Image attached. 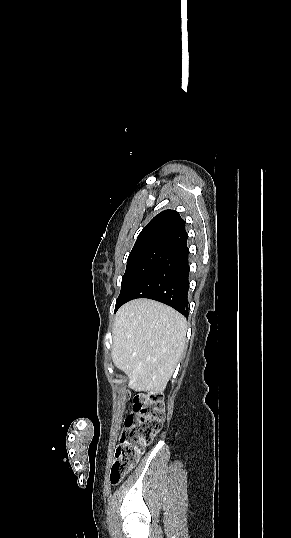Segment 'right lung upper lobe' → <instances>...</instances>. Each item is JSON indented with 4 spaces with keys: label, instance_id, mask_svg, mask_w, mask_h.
I'll list each match as a JSON object with an SVG mask.
<instances>
[{
    "label": "right lung upper lobe",
    "instance_id": "right-lung-upper-lobe-1",
    "mask_svg": "<svg viewBox=\"0 0 291 538\" xmlns=\"http://www.w3.org/2000/svg\"><path fill=\"white\" fill-rule=\"evenodd\" d=\"M185 221L179 213L168 209L157 214L140 232L131 252L161 247L175 249L187 242Z\"/></svg>",
    "mask_w": 291,
    "mask_h": 538
}]
</instances>
